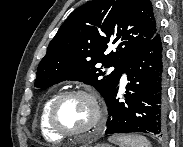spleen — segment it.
I'll return each instance as SVG.
<instances>
[{
  "mask_svg": "<svg viewBox=\"0 0 183 147\" xmlns=\"http://www.w3.org/2000/svg\"><path fill=\"white\" fill-rule=\"evenodd\" d=\"M108 140L119 147H151L147 138L138 134L113 135Z\"/></svg>",
  "mask_w": 183,
  "mask_h": 147,
  "instance_id": "obj_1",
  "label": "spleen"
}]
</instances>
